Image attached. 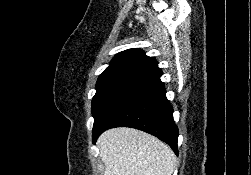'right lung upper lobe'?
Listing matches in <instances>:
<instances>
[{"label":"right lung upper lobe","mask_w":251,"mask_h":175,"mask_svg":"<svg viewBox=\"0 0 251 175\" xmlns=\"http://www.w3.org/2000/svg\"><path fill=\"white\" fill-rule=\"evenodd\" d=\"M161 75L162 71L158 68L156 59L146 56L139 48H132L118 53L98 80L127 76L142 81Z\"/></svg>","instance_id":"1"}]
</instances>
